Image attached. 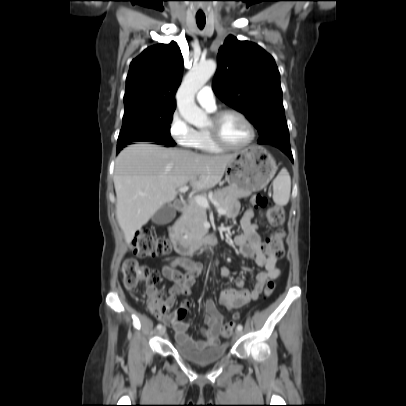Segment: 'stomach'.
<instances>
[{"label":"stomach","mask_w":406,"mask_h":406,"mask_svg":"<svg viewBox=\"0 0 406 406\" xmlns=\"http://www.w3.org/2000/svg\"><path fill=\"white\" fill-rule=\"evenodd\" d=\"M235 154L226 168V179L232 187L249 192L260 191L277 171L274 158L261 146H251Z\"/></svg>","instance_id":"stomach-1"}]
</instances>
